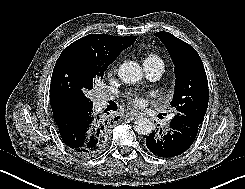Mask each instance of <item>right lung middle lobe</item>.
Returning a JSON list of instances; mask_svg holds the SVG:
<instances>
[{
  "mask_svg": "<svg viewBox=\"0 0 245 189\" xmlns=\"http://www.w3.org/2000/svg\"><path fill=\"white\" fill-rule=\"evenodd\" d=\"M107 67L96 61H81L65 69L60 87L74 108L82 109L93 105L86 94L93 88L95 81L103 78Z\"/></svg>",
  "mask_w": 245,
  "mask_h": 189,
  "instance_id": "dd1d6c3e",
  "label": "right lung middle lobe"
}]
</instances>
